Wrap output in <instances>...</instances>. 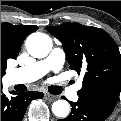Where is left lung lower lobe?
Wrapping results in <instances>:
<instances>
[{
	"mask_svg": "<svg viewBox=\"0 0 121 121\" xmlns=\"http://www.w3.org/2000/svg\"><path fill=\"white\" fill-rule=\"evenodd\" d=\"M70 104L72 106L70 115L65 119H59L58 121H105L110 115L88 105L81 99L76 103L70 102Z\"/></svg>",
	"mask_w": 121,
	"mask_h": 121,
	"instance_id": "left-lung-lower-lobe-1",
	"label": "left lung lower lobe"
}]
</instances>
